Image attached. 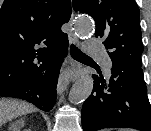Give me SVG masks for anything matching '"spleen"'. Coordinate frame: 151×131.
<instances>
[{
  "instance_id": "spleen-1",
  "label": "spleen",
  "mask_w": 151,
  "mask_h": 131,
  "mask_svg": "<svg viewBox=\"0 0 151 131\" xmlns=\"http://www.w3.org/2000/svg\"><path fill=\"white\" fill-rule=\"evenodd\" d=\"M121 131H133V130H121Z\"/></svg>"
}]
</instances>
